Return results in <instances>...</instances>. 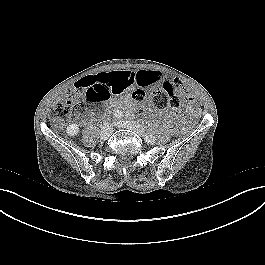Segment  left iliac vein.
<instances>
[{
  "mask_svg": "<svg viewBox=\"0 0 265 265\" xmlns=\"http://www.w3.org/2000/svg\"><path fill=\"white\" fill-rule=\"evenodd\" d=\"M116 126L119 128H128L130 130H133L134 132H136L137 134L141 136H145L143 127L134 121H118L116 123ZM145 141L149 144H154L156 141V138H153L152 140L145 139Z\"/></svg>",
  "mask_w": 265,
  "mask_h": 265,
  "instance_id": "left-iliac-vein-1",
  "label": "left iliac vein"
}]
</instances>
